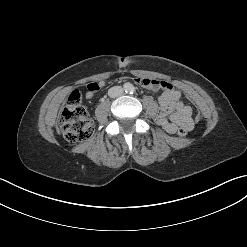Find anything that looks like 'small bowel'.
I'll return each mask as SVG.
<instances>
[{"label": "small bowel", "mask_w": 247, "mask_h": 247, "mask_svg": "<svg viewBox=\"0 0 247 247\" xmlns=\"http://www.w3.org/2000/svg\"><path fill=\"white\" fill-rule=\"evenodd\" d=\"M136 82L143 88L158 91L162 90L159 97V112L157 115L158 124L168 133L173 134L178 127H184L191 130L193 127L192 108L183 103L181 92L174 88V86L163 80L136 78ZM94 89H89L85 97L91 99L94 92L102 89L105 86L103 80L92 83Z\"/></svg>", "instance_id": "obj_1"}]
</instances>
